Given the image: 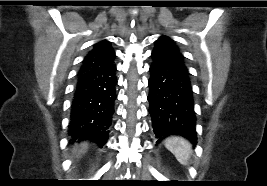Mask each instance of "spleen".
Segmentation results:
<instances>
[{"label":"spleen","instance_id":"obj_1","mask_svg":"<svg viewBox=\"0 0 267 186\" xmlns=\"http://www.w3.org/2000/svg\"><path fill=\"white\" fill-rule=\"evenodd\" d=\"M165 147L173 153L179 163L187 165L191 154V144L181 137H170L165 140Z\"/></svg>","mask_w":267,"mask_h":186}]
</instances>
